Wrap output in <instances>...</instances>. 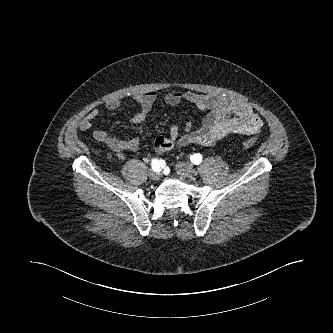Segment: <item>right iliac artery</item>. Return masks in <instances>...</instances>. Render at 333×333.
<instances>
[{"label":"right iliac artery","mask_w":333,"mask_h":333,"mask_svg":"<svg viewBox=\"0 0 333 333\" xmlns=\"http://www.w3.org/2000/svg\"><path fill=\"white\" fill-rule=\"evenodd\" d=\"M163 163H164V161H162V160L159 162V160H157V159H153V160L151 161L152 169H153V170H156V171H159V170H160V167L162 166Z\"/></svg>","instance_id":"82829eb1"}]
</instances>
